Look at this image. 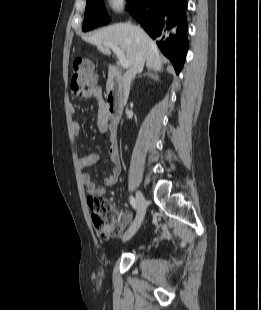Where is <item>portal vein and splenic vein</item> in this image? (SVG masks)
Returning a JSON list of instances; mask_svg holds the SVG:
<instances>
[{
	"label": "portal vein and splenic vein",
	"instance_id": "obj_1",
	"mask_svg": "<svg viewBox=\"0 0 261 310\" xmlns=\"http://www.w3.org/2000/svg\"><path fill=\"white\" fill-rule=\"evenodd\" d=\"M104 46L113 50V52L117 55L119 59L120 65L123 68L129 67V61L126 59L124 51L122 49L112 43H105Z\"/></svg>",
	"mask_w": 261,
	"mask_h": 310
}]
</instances>
